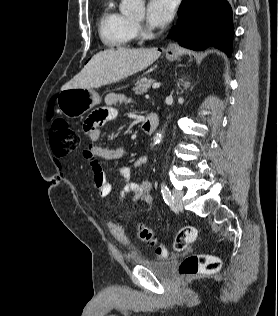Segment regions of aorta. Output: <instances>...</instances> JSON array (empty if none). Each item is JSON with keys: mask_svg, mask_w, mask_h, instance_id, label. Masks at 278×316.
<instances>
[{"mask_svg": "<svg viewBox=\"0 0 278 316\" xmlns=\"http://www.w3.org/2000/svg\"><path fill=\"white\" fill-rule=\"evenodd\" d=\"M144 0H122L120 11L123 15L129 17H138L144 14ZM162 133H157L154 140L156 144L162 141Z\"/></svg>", "mask_w": 278, "mask_h": 316, "instance_id": "1", "label": "aorta"}]
</instances>
